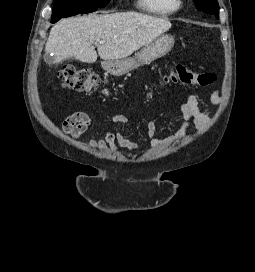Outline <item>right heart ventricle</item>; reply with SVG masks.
Instances as JSON below:
<instances>
[{
	"label": "right heart ventricle",
	"instance_id": "obj_1",
	"mask_svg": "<svg viewBox=\"0 0 255 272\" xmlns=\"http://www.w3.org/2000/svg\"><path fill=\"white\" fill-rule=\"evenodd\" d=\"M137 6L146 13L168 16L179 10L180 2L178 0H137Z\"/></svg>",
	"mask_w": 255,
	"mask_h": 272
}]
</instances>
